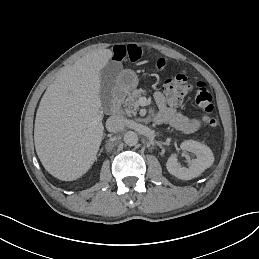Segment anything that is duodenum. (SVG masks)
<instances>
[{"label": "duodenum", "mask_w": 259, "mask_h": 259, "mask_svg": "<svg viewBox=\"0 0 259 259\" xmlns=\"http://www.w3.org/2000/svg\"><path fill=\"white\" fill-rule=\"evenodd\" d=\"M125 94H126V90L123 87H117L113 91L112 101L110 104V110L112 113H116L120 109V105L122 103V100L125 97Z\"/></svg>", "instance_id": "obj_1"}]
</instances>
